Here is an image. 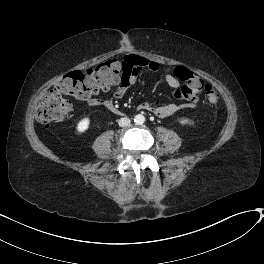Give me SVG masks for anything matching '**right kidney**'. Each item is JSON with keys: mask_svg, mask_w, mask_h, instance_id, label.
<instances>
[{"mask_svg": "<svg viewBox=\"0 0 264 264\" xmlns=\"http://www.w3.org/2000/svg\"><path fill=\"white\" fill-rule=\"evenodd\" d=\"M89 125H90V119L88 117L81 119L76 127L77 132L78 133L85 132L89 128Z\"/></svg>", "mask_w": 264, "mask_h": 264, "instance_id": "1", "label": "right kidney"}]
</instances>
